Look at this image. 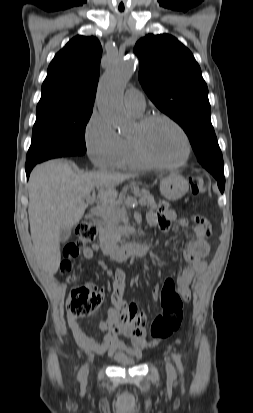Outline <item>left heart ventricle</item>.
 <instances>
[{
	"mask_svg": "<svg viewBox=\"0 0 253 413\" xmlns=\"http://www.w3.org/2000/svg\"><path fill=\"white\" fill-rule=\"evenodd\" d=\"M140 134L137 127L134 135ZM149 155L162 163L178 162L185 153V144L180 133L168 122L157 121L142 134Z\"/></svg>",
	"mask_w": 253,
	"mask_h": 413,
	"instance_id": "b2bd125f",
	"label": "left heart ventricle"
}]
</instances>
